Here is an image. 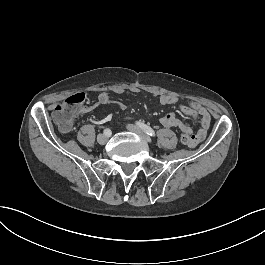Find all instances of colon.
Returning a JSON list of instances; mask_svg holds the SVG:
<instances>
[{
	"mask_svg": "<svg viewBox=\"0 0 265 265\" xmlns=\"http://www.w3.org/2000/svg\"><path fill=\"white\" fill-rule=\"evenodd\" d=\"M88 98V95L85 92L80 93L79 95H74L69 97V99L59 105L56 108L55 114H54V119L60 123L64 127H68L71 123V120L73 118L72 112L68 109V107L75 106L79 104L80 102L85 101ZM182 141L188 146H191V140L190 136L187 135L186 133H183L182 135Z\"/></svg>",
	"mask_w": 265,
	"mask_h": 265,
	"instance_id": "colon-1",
	"label": "colon"
}]
</instances>
